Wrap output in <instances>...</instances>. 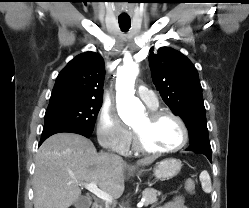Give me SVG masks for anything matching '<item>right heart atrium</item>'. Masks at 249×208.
Instances as JSON below:
<instances>
[{"label":"right heart atrium","mask_w":249,"mask_h":208,"mask_svg":"<svg viewBox=\"0 0 249 208\" xmlns=\"http://www.w3.org/2000/svg\"><path fill=\"white\" fill-rule=\"evenodd\" d=\"M96 131L98 141L103 147L123 155L128 153L132 134L113 108L109 106L101 107L97 118Z\"/></svg>","instance_id":"right-heart-atrium-1"}]
</instances>
